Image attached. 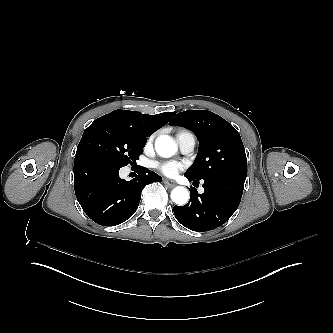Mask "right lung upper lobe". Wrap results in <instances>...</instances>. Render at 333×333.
I'll return each instance as SVG.
<instances>
[{"instance_id":"cb5924a9","label":"right lung upper lobe","mask_w":333,"mask_h":333,"mask_svg":"<svg viewBox=\"0 0 333 333\" xmlns=\"http://www.w3.org/2000/svg\"><path fill=\"white\" fill-rule=\"evenodd\" d=\"M175 113L176 112H168L157 115H144L136 111L116 110L96 119L95 121L109 120L146 138L157 129L164 126Z\"/></svg>"}]
</instances>
